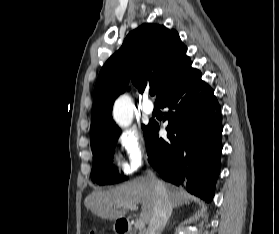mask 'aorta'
Returning a JSON list of instances; mask_svg holds the SVG:
<instances>
[{
  "label": "aorta",
  "mask_w": 279,
  "mask_h": 234,
  "mask_svg": "<svg viewBox=\"0 0 279 234\" xmlns=\"http://www.w3.org/2000/svg\"><path fill=\"white\" fill-rule=\"evenodd\" d=\"M113 117L121 127H128L132 122V102L127 95L120 96L114 104Z\"/></svg>",
  "instance_id": "1"
}]
</instances>
